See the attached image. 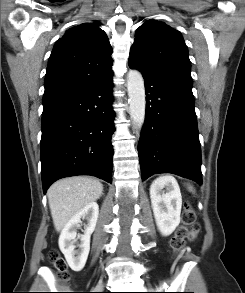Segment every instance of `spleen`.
I'll list each match as a JSON object with an SVG mask.
<instances>
[{"label": "spleen", "mask_w": 245, "mask_h": 293, "mask_svg": "<svg viewBox=\"0 0 245 293\" xmlns=\"http://www.w3.org/2000/svg\"><path fill=\"white\" fill-rule=\"evenodd\" d=\"M188 188H189V190H190V191H192V190H193L192 186H189Z\"/></svg>", "instance_id": "obj_1"}]
</instances>
